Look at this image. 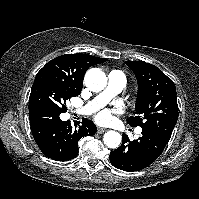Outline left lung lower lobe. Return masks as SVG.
Masks as SVG:
<instances>
[{"label":"left lung lower lobe","mask_w":199,"mask_h":199,"mask_svg":"<svg viewBox=\"0 0 199 199\" xmlns=\"http://www.w3.org/2000/svg\"><path fill=\"white\" fill-rule=\"evenodd\" d=\"M122 138V145L110 153V162L116 168L127 172L148 167L160 156L169 142L165 137L149 131H142L138 140L130 141L126 134H123Z\"/></svg>","instance_id":"1"}]
</instances>
